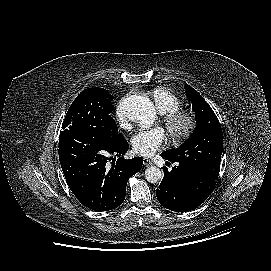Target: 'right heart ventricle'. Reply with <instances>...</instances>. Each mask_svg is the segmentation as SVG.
<instances>
[{
    "instance_id": "right-heart-ventricle-1",
    "label": "right heart ventricle",
    "mask_w": 271,
    "mask_h": 271,
    "mask_svg": "<svg viewBox=\"0 0 271 271\" xmlns=\"http://www.w3.org/2000/svg\"><path fill=\"white\" fill-rule=\"evenodd\" d=\"M153 100L160 113L177 111L180 106V100L168 90L158 88L152 92Z\"/></svg>"
}]
</instances>
